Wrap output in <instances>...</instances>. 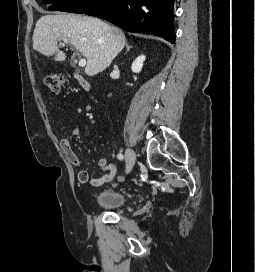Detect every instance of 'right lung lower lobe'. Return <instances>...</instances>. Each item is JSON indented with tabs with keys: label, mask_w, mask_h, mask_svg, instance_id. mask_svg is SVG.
I'll return each instance as SVG.
<instances>
[{
	"label": "right lung lower lobe",
	"mask_w": 255,
	"mask_h": 272,
	"mask_svg": "<svg viewBox=\"0 0 255 272\" xmlns=\"http://www.w3.org/2000/svg\"><path fill=\"white\" fill-rule=\"evenodd\" d=\"M174 0H98L84 14L129 32L151 33L175 43Z\"/></svg>",
	"instance_id": "right-lung-lower-lobe-1"
}]
</instances>
